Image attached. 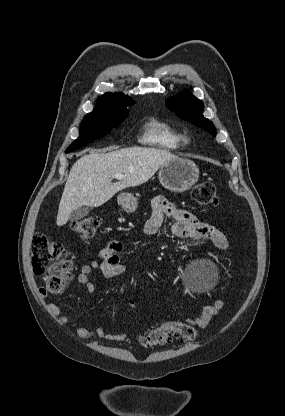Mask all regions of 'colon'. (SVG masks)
<instances>
[{
  "label": "colon",
  "mask_w": 285,
  "mask_h": 416,
  "mask_svg": "<svg viewBox=\"0 0 285 416\" xmlns=\"http://www.w3.org/2000/svg\"><path fill=\"white\" fill-rule=\"evenodd\" d=\"M193 199L203 207L216 205V187L205 181L198 183L192 190ZM100 224L96 216H86L75 220L71 228L83 240H90ZM32 270L35 275H47L46 289L52 293L62 292L69 282L74 265L66 249L58 242L48 239L44 234L34 235L31 247ZM196 337L193 326L180 321H167L161 325L139 332L136 341L145 348L165 346L175 340L189 342Z\"/></svg>",
  "instance_id": "1"
}]
</instances>
